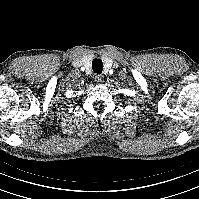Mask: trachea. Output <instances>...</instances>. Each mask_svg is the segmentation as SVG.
<instances>
[{
	"label": "trachea",
	"mask_w": 199,
	"mask_h": 199,
	"mask_svg": "<svg viewBox=\"0 0 199 199\" xmlns=\"http://www.w3.org/2000/svg\"><path fill=\"white\" fill-rule=\"evenodd\" d=\"M102 68H103L102 60L94 59L92 61V69L94 73H98V74L102 73Z\"/></svg>",
	"instance_id": "obj_1"
}]
</instances>
